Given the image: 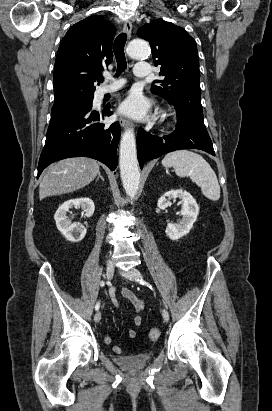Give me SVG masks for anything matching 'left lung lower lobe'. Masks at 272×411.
Returning a JSON list of instances; mask_svg holds the SVG:
<instances>
[{"label": "left lung lower lobe", "mask_w": 272, "mask_h": 411, "mask_svg": "<svg viewBox=\"0 0 272 411\" xmlns=\"http://www.w3.org/2000/svg\"><path fill=\"white\" fill-rule=\"evenodd\" d=\"M177 128L170 135L158 137L139 129L137 134V157L140 167L168 152L180 149H200L215 156L212 141L203 119L177 117Z\"/></svg>", "instance_id": "0a47b994"}]
</instances>
